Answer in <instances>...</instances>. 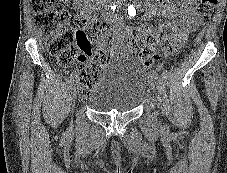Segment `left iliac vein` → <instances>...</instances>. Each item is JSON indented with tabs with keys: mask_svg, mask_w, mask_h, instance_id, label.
<instances>
[{
	"mask_svg": "<svg viewBox=\"0 0 227 173\" xmlns=\"http://www.w3.org/2000/svg\"><path fill=\"white\" fill-rule=\"evenodd\" d=\"M148 84H149V87L152 91L155 90V80L149 76V79H148Z\"/></svg>",
	"mask_w": 227,
	"mask_h": 173,
	"instance_id": "left-iliac-vein-1",
	"label": "left iliac vein"
}]
</instances>
